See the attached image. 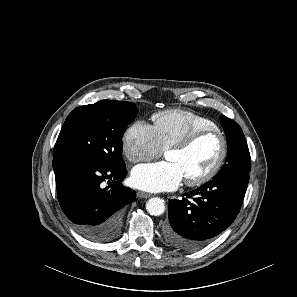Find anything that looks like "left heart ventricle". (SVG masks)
I'll return each mask as SVG.
<instances>
[{"mask_svg": "<svg viewBox=\"0 0 297 297\" xmlns=\"http://www.w3.org/2000/svg\"><path fill=\"white\" fill-rule=\"evenodd\" d=\"M221 148L219 138L208 135L186 150L167 151L165 158L178 163L184 172L185 179H189L208 171L218 159Z\"/></svg>", "mask_w": 297, "mask_h": 297, "instance_id": "obj_1", "label": "left heart ventricle"}]
</instances>
